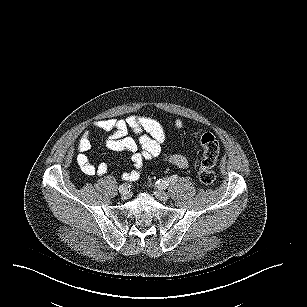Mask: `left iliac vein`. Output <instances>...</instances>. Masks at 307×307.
Masks as SVG:
<instances>
[{
    "label": "left iliac vein",
    "mask_w": 307,
    "mask_h": 307,
    "mask_svg": "<svg viewBox=\"0 0 307 307\" xmlns=\"http://www.w3.org/2000/svg\"><path fill=\"white\" fill-rule=\"evenodd\" d=\"M154 194L161 201H167L169 199V194L159 188L155 189Z\"/></svg>",
    "instance_id": "4c4485c4"
}]
</instances>
